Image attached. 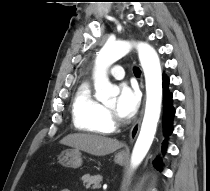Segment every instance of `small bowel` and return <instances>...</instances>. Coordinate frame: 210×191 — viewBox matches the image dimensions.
I'll return each instance as SVG.
<instances>
[{
    "label": "small bowel",
    "mask_w": 210,
    "mask_h": 191,
    "mask_svg": "<svg viewBox=\"0 0 210 191\" xmlns=\"http://www.w3.org/2000/svg\"><path fill=\"white\" fill-rule=\"evenodd\" d=\"M61 191H70L69 189H62Z\"/></svg>",
    "instance_id": "1"
}]
</instances>
